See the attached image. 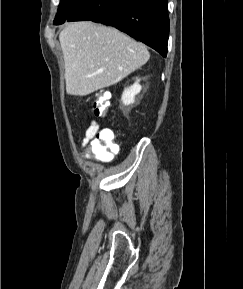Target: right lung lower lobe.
Wrapping results in <instances>:
<instances>
[{
  "mask_svg": "<svg viewBox=\"0 0 243 289\" xmlns=\"http://www.w3.org/2000/svg\"><path fill=\"white\" fill-rule=\"evenodd\" d=\"M167 3L168 0H83L65 21L90 20L111 25L166 57Z\"/></svg>",
  "mask_w": 243,
  "mask_h": 289,
  "instance_id": "right-lung-lower-lobe-1",
  "label": "right lung lower lobe"
}]
</instances>
